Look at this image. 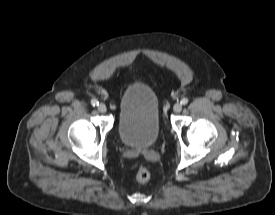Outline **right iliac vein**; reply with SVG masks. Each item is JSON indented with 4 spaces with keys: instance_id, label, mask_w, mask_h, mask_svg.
<instances>
[{
    "instance_id": "right-iliac-vein-1",
    "label": "right iliac vein",
    "mask_w": 275,
    "mask_h": 215,
    "mask_svg": "<svg viewBox=\"0 0 275 215\" xmlns=\"http://www.w3.org/2000/svg\"><path fill=\"white\" fill-rule=\"evenodd\" d=\"M98 110H99V112H101V113H105V112L107 111L106 105L103 104V103H100V104L98 105Z\"/></svg>"
}]
</instances>
